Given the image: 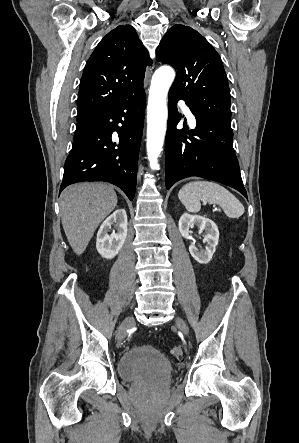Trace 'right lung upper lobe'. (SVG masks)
Instances as JSON below:
<instances>
[{
  "mask_svg": "<svg viewBox=\"0 0 299 443\" xmlns=\"http://www.w3.org/2000/svg\"><path fill=\"white\" fill-rule=\"evenodd\" d=\"M135 29L120 25L110 31L88 59L79 89L77 123L92 120L143 88L151 65Z\"/></svg>",
  "mask_w": 299,
  "mask_h": 443,
  "instance_id": "obj_1",
  "label": "right lung upper lobe"
}]
</instances>
